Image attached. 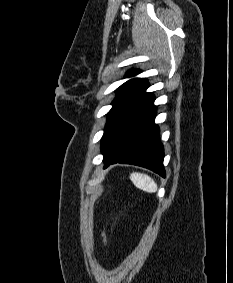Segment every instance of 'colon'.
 <instances>
[{
	"instance_id": "colon-1",
	"label": "colon",
	"mask_w": 233,
	"mask_h": 283,
	"mask_svg": "<svg viewBox=\"0 0 233 283\" xmlns=\"http://www.w3.org/2000/svg\"><path fill=\"white\" fill-rule=\"evenodd\" d=\"M102 240H103V243L105 244V245H107V236H106V233H105V231H102Z\"/></svg>"
}]
</instances>
